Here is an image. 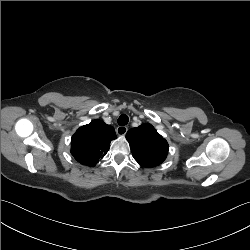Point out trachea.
<instances>
[{
  "label": "trachea",
  "instance_id": "obj_1",
  "mask_svg": "<svg viewBox=\"0 0 250 250\" xmlns=\"http://www.w3.org/2000/svg\"><path fill=\"white\" fill-rule=\"evenodd\" d=\"M129 121V118L127 115L122 114L119 118H118V124L120 126H125Z\"/></svg>",
  "mask_w": 250,
  "mask_h": 250
}]
</instances>
